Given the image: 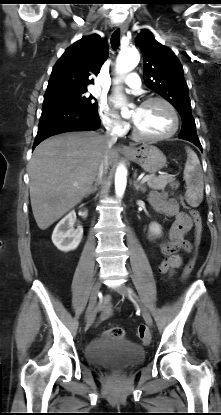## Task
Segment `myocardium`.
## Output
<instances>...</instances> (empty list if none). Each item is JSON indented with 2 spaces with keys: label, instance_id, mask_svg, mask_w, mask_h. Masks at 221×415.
I'll list each match as a JSON object with an SVG mask.
<instances>
[{
  "label": "myocardium",
  "instance_id": "myocardium-1",
  "mask_svg": "<svg viewBox=\"0 0 221 415\" xmlns=\"http://www.w3.org/2000/svg\"><path fill=\"white\" fill-rule=\"evenodd\" d=\"M153 102H159L164 104L168 110L170 111L172 118H173V127L171 128V130L165 134L162 135H147L142 133L138 127L135 125V123L133 122V126H132V130H133V134L134 136H136L139 139L142 140H146V141H162V140H167L171 137H173L177 131L179 130V126H180V118H179V114L177 109L175 108V106L168 101L165 98L162 97H150L145 99L140 106H145L148 105L150 103Z\"/></svg>",
  "mask_w": 221,
  "mask_h": 415
}]
</instances>
